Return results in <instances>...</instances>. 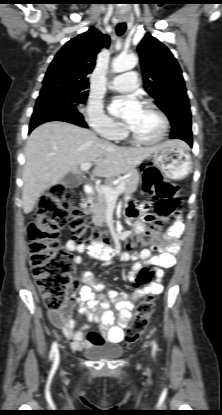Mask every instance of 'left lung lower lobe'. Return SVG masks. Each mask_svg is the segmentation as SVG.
Wrapping results in <instances>:
<instances>
[{"instance_id": "0a47b994", "label": "left lung lower lobe", "mask_w": 222, "mask_h": 415, "mask_svg": "<svg viewBox=\"0 0 222 415\" xmlns=\"http://www.w3.org/2000/svg\"><path fill=\"white\" fill-rule=\"evenodd\" d=\"M170 138L181 139L192 146L191 122H183L180 126L172 128Z\"/></svg>"}]
</instances>
